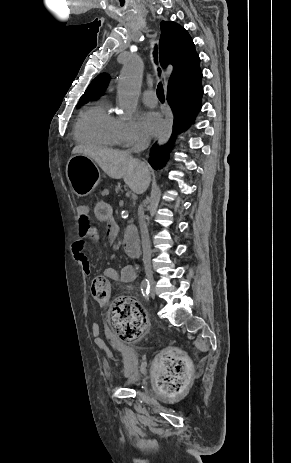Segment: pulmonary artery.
Masks as SVG:
<instances>
[{
    "label": "pulmonary artery",
    "instance_id": "obj_1",
    "mask_svg": "<svg viewBox=\"0 0 291 463\" xmlns=\"http://www.w3.org/2000/svg\"><path fill=\"white\" fill-rule=\"evenodd\" d=\"M142 100L146 105L151 107L156 106L158 102L156 92L151 89L145 90L143 92Z\"/></svg>",
    "mask_w": 291,
    "mask_h": 463
}]
</instances>
